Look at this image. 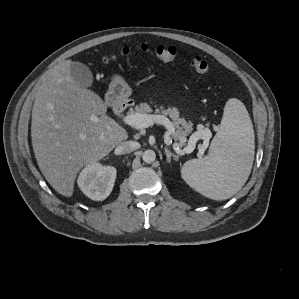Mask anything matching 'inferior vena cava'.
Here are the masks:
<instances>
[{"label": "inferior vena cava", "mask_w": 299, "mask_h": 299, "mask_svg": "<svg viewBox=\"0 0 299 299\" xmlns=\"http://www.w3.org/2000/svg\"><path fill=\"white\" fill-rule=\"evenodd\" d=\"M139 148V143L136 141H124L121 142L117 148L116 151L119 154H127L131 153L132 151L136 150Z\"/></svg>", "instance_id": "obj_1"}]
</instances>
